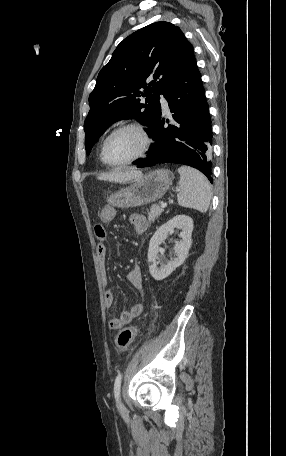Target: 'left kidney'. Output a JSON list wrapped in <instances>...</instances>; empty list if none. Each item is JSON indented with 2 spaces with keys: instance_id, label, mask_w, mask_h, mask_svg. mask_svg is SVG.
Listing matches in <instances>:
<instances>
[{
  "instance_id": "left-kidney-1",
  "label": "left kidney",
  "mask_w": 286,
  "mask_h": 456,
  "mask_svg": "<svg viewBox=\"0 0 286 456\" xmlns=\"http://www.w3.org/2000/svg\"><path fill=\"white\" fill-rule=\"evenodd\" d=\"M175 228L181 230V241L176 243L174 250L176 257L167 264L158 266L159 246L167 238L168 233ZM193 231V220L186 215H177L159 227L152 236L148 249L149 272L155 280H163L168 277L177 267L182 265L191 247V235Z\"/></svg>"
}]
</instances>
